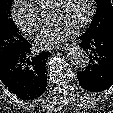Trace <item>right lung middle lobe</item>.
<instances>
[{"label":"right lung middle lobe","instance_id":"dd1d6c3e","mask_svg":"<svg viewBox=\"0 0 113 113\" xmlns=\"http://www.w3.org/2000/svg\"><path fill=\"white\" fill-rule=\"evenodd\" d=\"M11 3L0 0V64L27 42L11 18Z\"/></svg>","mask_w":113,"mask_h":113}]
</instances>
